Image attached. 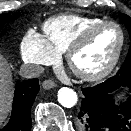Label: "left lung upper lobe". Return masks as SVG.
Masks as SVG:
<instances>
[{"instance_id": "obj_1", "label": "left lung upper lobe", "mask_w": 131, "mask_h": 131, "mask_svg": "<svg viewBox=\"0 0 131 131\" xmlns=\"http://www.w3.org/2000/svg\"><path fill=\"white\" fill-rule=\"evenodd\" d=\"M120 19L125 24L126 28L128 29L130 39H131V18L127 15L120 14ZM127 70H131V46L129 48L128 55L126 57V60L120 70L117 73H121Z\"/></svg>"}]
</instances>
